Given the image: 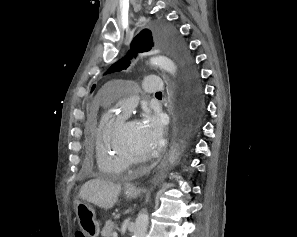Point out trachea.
<instances>
[{"label": "trachea", "mask_w": 297, "mask_h": 237, "mask_svg": "<svg viewBox=\"0 0 297 237\" xmlns=\"http://www.w3.org/2000/svg\"><path fill=\"white\" fill-rule=\"evenodd\" d=\"M161 94H162L161 92H157V93H156V95H161Z\"/></svg>", "instance_id": "obj_1"}]
</instances>
